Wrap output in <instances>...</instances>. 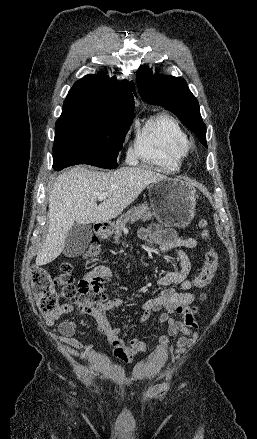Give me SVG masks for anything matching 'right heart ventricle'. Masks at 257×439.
I'll return each instance as SVG.
<instances>
[{
  "label": "right heart ventricle",
  "instance_id": "obj_1",
  "mask_svg": "<svg viewBox=\"0 0 257 439\" xmlns=\"http://www.w3.org/2000/svg\"><path fill=\"white\" fill-rule=\"evenodd\" d=\"M187 133L172 116L162 113L138 128L134 152L146 166L166 173L178 171L189 155Z\"/></svg>",
  "mask_w": 257,
  "mask_h": 439
}]
</instances>
